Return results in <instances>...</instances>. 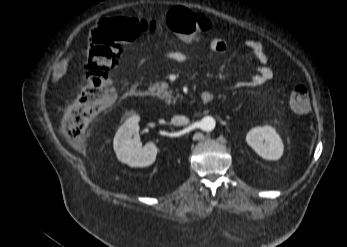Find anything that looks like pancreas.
Masks as SVG:
<instances>
[{"instance_id":"cf45deb5","label":"pancreas","mask_w":347,"mask_h":247,"mask_svg":"<svg viewBox=\"0 0 347 247\" xmlns=\"http://www.w3.org/2000/svg\"><path fill=\"white\" fill-rule=\"evenodd\" d=\"M152 89L156 91L155 95L165 100L167 103L172 102V91L168 89V84L165 82L154 83ZM175 102V99L173 100Z\"/></svg>"}]
</instances>
